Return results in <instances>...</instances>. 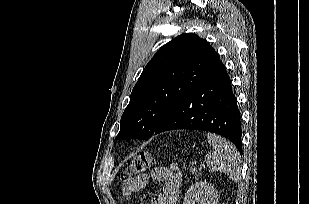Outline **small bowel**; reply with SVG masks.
<instances>
[{"label": "small bowel", "mask_w": 309, "mask_h": 204, "mask_svg": "<svg viewBox=\"0 0 309 204\" xmlns=\"http://www.w3.org/2000/svg\"><path fill=\"white\" fill-rule=\"evenodd\" d=\"M150 179L162 182L163 192L152 199V204H177L179 190L182 185V173L178 167L159 166L149 173H142L123 185V194L132 197L146 187Z\"/></svg>", "instance_id": "small-bowel-1"}]
</instances>
